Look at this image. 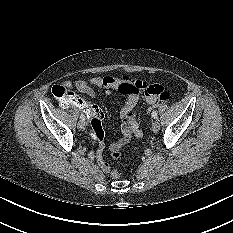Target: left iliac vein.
<instances>
[{"instance_id": "obj_1", "label": "left iliac vein", "mask_w": 233, "mask_h": 233, "mask_svg": "<svg viewBox=\"0 0 233 233\" xmlns=\"http://www.w3.org/2000/svg\"><path fill=\"white\" fill-rule=\"evenodd\" d=\"M152 130L154 133H157L160 130V124H159L158 120L153 121Z\"/></svg>"}]
</instances>
